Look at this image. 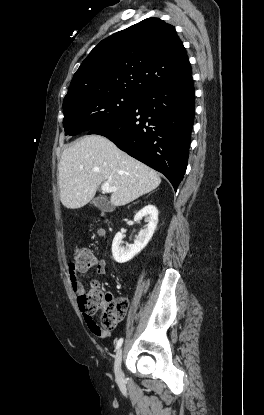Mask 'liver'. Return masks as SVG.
Segmentation results:
<instances>
[{
  "mask_svg": "<svg viewBox=\"0 0 264 415\" xmlns=\"http://www.w3.org/2000/svg\"><path fill=\"white\" fill-rule=\"evenodd\" d=\"M60 200L68 209L89 203L104 182L116 187L110 202L124 206L156 189L159 174L100 135L84 136L62 152L58 164Z\"/></svg>",
  "mask_w": 264,
  "mask_h": 415,
  "instance_id": "liver-1",
  "label": "liver"
}]
</instances>
